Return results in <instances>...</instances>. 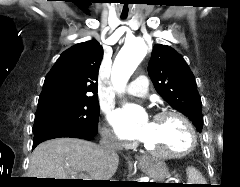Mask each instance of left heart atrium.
Masks as SVG:
<instances>
[{
	"label": "left heart atrium",
	"instance_id": "obj_1",
	"mask_svg": "<svg viewBox=\"0 0 240 187\" xmlns=\"http://www.w3.org/2000/svg\"><path fill=\"white\" fill-rule=\"evenodd\" d=\"M112 123L114 124L119 135L124 138L137 139L142 142H146L148 139L150 123L140 128H133L129 125L120 112H116L112 115Z\"/></svg>",
	"mask_w": 240,
	"mask_h": 187
}]
</instances>
